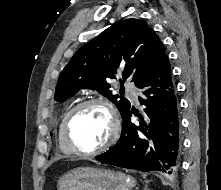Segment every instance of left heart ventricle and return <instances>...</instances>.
<instances>
[{
  "instance_id": "1",
  "label": "left heart ventricle",
  "mask_w": 221,
  "mask_h": 190,
  "mask_svg": "<svg viewBox=\"0 0 221 190\" xmlns=\"http://www.w3.org/2000/svg\"><path fill=\"white\" fill-rule=\"evenodd\" d=\"M111 126L110 113L104 106L89 105L76 114L70 133L79 147L93 149L109 138Z\"/></svg>"
}]
</instances>
